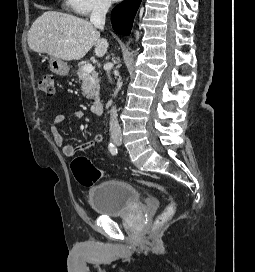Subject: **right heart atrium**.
Segmentation results:
<instances>
[{
  "label": "right heart atrium",
  "mask_w": 255,
  "mask_h": 272,
  "mask_svg": "<svg viewBox=\"0 0 255 272\" xmlns=\"http://www.w3.org/2000/svg\"><path fill=\"white\" fill-rule=\"evenodd\" d=\"M110 0H65L64 7L75 14L86 16L90 13L105 11Z\"/></svg>",
  "instance_id": "obj_1"
}]
</instances>
